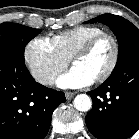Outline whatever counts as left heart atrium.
<instances>
[{"label": "left heart atrium", "mask_w": 139, "mask_h": 139, "mask_svg": "<svg viewBox=\"0 0 139 139\" xmlns=\"http://www.w3.org/2000/svg\"><path fill=\"white\" fill-rule=\"evenodd\" d=\"M95 79L84 70L74 66L70 71L60 76L56 84L61 88H81L91 85Z\"/></svg>", "instance_id": "left-heart-atrium-1"}]
</instances>
